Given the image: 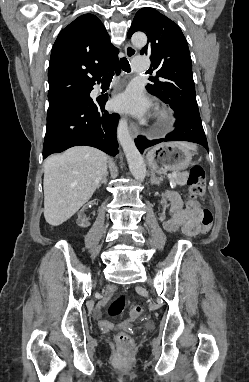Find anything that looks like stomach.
<instances>
[{"instance_id":"obj_1","label":"stomach","mask_w":249,"mask_h":382,"mask_svg":"<svg viewBox=\"0 0 249 382\" xmlns=\"http://www.w3.org/2000/svg\"><path fill=\"white\" fill-rule=\"evenodd\" d=\"M192 153L182 142H167L156 145L147 153L152 171L163 174L167 171L185 170L191 163Z\"/></svg>"}]
</instances>
